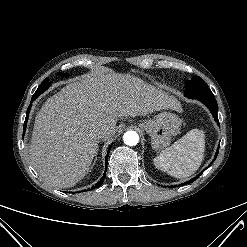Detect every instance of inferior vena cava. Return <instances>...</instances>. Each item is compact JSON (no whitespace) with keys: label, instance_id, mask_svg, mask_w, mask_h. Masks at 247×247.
Listing matches in <instances>:
<instances>
[{"label":"inferior vena cava","instance_id":"1","mask_svg":"<svg viewBox=\"0 0 247 247\" xmlns=\"http://www.w3.org/2000/svg\"><path fill=\"white\" fill-rule=\"evenodd\" d=\"M93 137H95L96 139H103L106 135V131L103 129H96L93 131L92 133Z\"/></svg>","mask_w":247,"mask_h":247}]
</instances>
